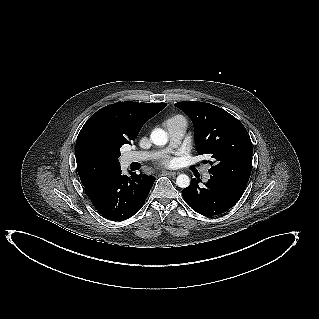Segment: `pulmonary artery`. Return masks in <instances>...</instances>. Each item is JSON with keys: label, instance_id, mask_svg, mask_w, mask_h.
<instances>
[{"label": "pulmonary artery", "instance_id": "e3ab8cb5", "mask_svg": "<svg viewBox=\"0 0 319 319\" xmlns=\"http://www.w3.org/2000/svg\"><path fill=\"white\" fill-rule=\"evenodd\" d=\"M166 127L168 130L170 142L168 148L164 150V152L171 150L181 143L187 128L186 123L183 120L179 119L168 120L166 123ZM161 153L162 152H128L127 154H125L124 160L127 163L145 161L159 156ZM203 178L205 180H208L210 178V173L206 171L203 174Z\"/></svg>", "mask_w": 319, "mask_h": 319}]
</instances>
